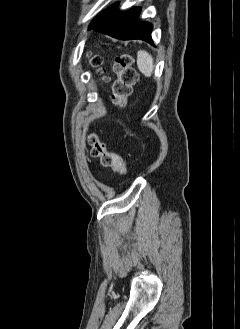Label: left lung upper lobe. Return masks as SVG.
I'll return each mask as SVG.
<instances>
[{"label": "left lung upper lobe", "instance_id": "obj_1", "mask_svg": "<svg viewBox=\"0 0 240 329\" xmlns=\"http://www.w3.org/2000/svg\"><path fill=\"white\" fill-rule=\"evenodd\" d=\"M115 7L116 4L110 6L108 9L104 10L98 16H96L90 24V29L93 28L96 24H98L103 18H105Z\"/></svg>", "mask_w": 240, "mask_h": 329}]
</instances>
